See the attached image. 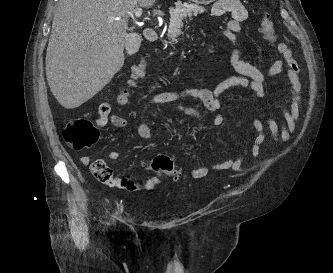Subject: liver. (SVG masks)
<instances>
[{
    "mask_svg": "<svg viewBox=\"0 0 333 273\" xmlns=\"http://www.w3.org/2000/svg\"><path fill=\"white\" fill-rule=\"evenodd\" d=\"M156 0H60L46 53V79L59 104L74 109L124 64L128 13ZM118 18V19H117Z\"/></svg>",
    "mask_w": 333,
    "mask_h": 273,
    "instance_id": "obj_1",
    "label": "liver"
}]
</instances>
